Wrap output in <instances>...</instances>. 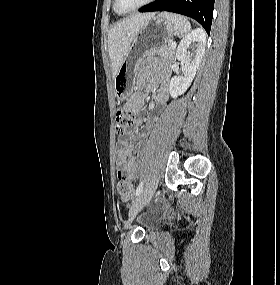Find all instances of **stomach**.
<instances>
[{"label": "stomach", "instance_id": "1", "mask_svg": "<svg viewBox=\"0 0 280 285\" xmlns=\"http://www.w3.org/2000/svg\"><path fill=\"white\" fill-rule=\"evenodd\" d=\"M174 34L173 24L161 15L152 17L142 26L114 77L119 100L123 101L132 94L138 66L146 53L167 43Z\"/></svg>", "mask_w": 280, "mask_h": 285}]
</instances>
